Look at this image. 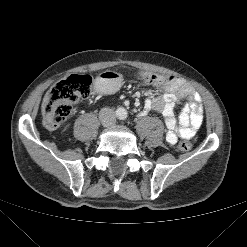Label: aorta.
Wrapping results in <instances>:
<instances>
[{"mask_svg": "<svg viewBox=\"0 0 247 247\" xmlns=\"http://www.w3.org/2000/svg\"><path fill=\"white\" fill-rule=\"evenodd\" d=\"M117 115H118L119 118L123 119V118L126 117L127 112H126V110L123 107H119L117 109Z\"/></svg>", "mask_w": 247, "mask_h": 247, "instance_id": "aorta-1", "label": "aorta"}]
</instances>
